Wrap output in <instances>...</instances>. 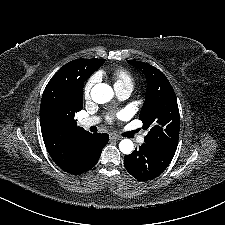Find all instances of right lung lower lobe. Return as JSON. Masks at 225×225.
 Here are the masks:
<instances>
[{"label": "right lung lower lobe", "mask_w": 225, "mask_h": 225, "mask_svg": "<svg viewBox=\"0 0 225 225\" xmlns=\"http://www.w3.org/2000/svg\"><path fill=\"white\" fill-rule=\"evenodd\" d=\"M108 140L109 136L106 133H89L80 138L74 149L72 164L66 169L63 168V170L73 175L90 170L97 163Z\"/></svg>", "instance_id": "right-lung-lower-lobe-1"}]
</instances>
